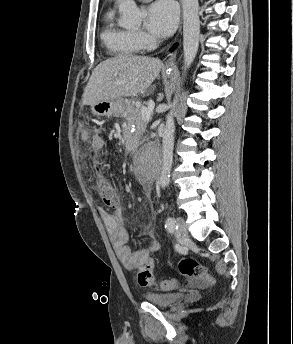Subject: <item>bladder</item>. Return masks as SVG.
I'll return each mask as SVG.
<instances>
[{
  "mask_svg": "<svg viewBox=\"0 0 293 344\" xmlns=\"http://www.w3.org/2000/svg\"><path fill=\"white\" fill-rule=\"evenodd\" d=\"M146 300L157 307L161 308H171L184 300V295L181 293L172 292H149L145 294Z\"/></svg>",
  "mask_w": 293,
  "mask_h": 344,
  "instance_id": "obj_1",
  "label": "bladder"
}]
</instances>
